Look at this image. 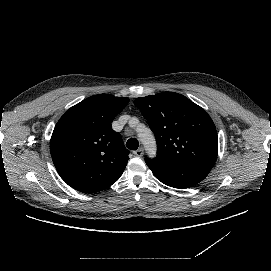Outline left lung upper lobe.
I'll return each instance as SVG.
<instances>
[{"mask_svg": "<svg viewBox=\"0 0 271 271\" xmlns=\"http://www.w3.org/2000/svg\"><path fill=\"white\" fill-rule=\"evenodd\" d=\"M134 104L155 134L158 158L210 169L214 166L217 131L200 106L174 92L137 98Z\"/></svg>", "mask_w": 271, "mask_h": 271, "instance_id": "obj_1", "label": "left lung upper lobe"}]
</instances>
